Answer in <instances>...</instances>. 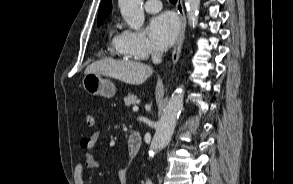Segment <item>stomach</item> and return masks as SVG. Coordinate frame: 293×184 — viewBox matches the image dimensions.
Segmentation results:
<instances>
[{
	"instance_id": "stomach-1",
	"label": "stomach",
	"mask_w": 293,
	"mask_h": 184,
	"mask_svg": "<svg viewBox=\"0 0 293 184\" xmlns=\"http://www.w3.org/2000/svg\"><path fill=\"white\" fill-rule=\"evenodd\" d=\"M82 83L85 91L90 95L112 97L116 93L114 83L109 79H104L101 74H85Z\"/></svg>"
}]
</instances>
